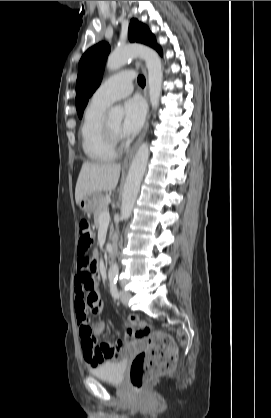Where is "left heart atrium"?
Returning a JSON list of instances; mask_svg holds the SVG:
<instances>
[{"mask_svg": "<svg viewBox=\"0 0 271 418\" xmlns=\"http://www.w3.org/2000/svg\"><path fill=\"white\" fill-rule=\"evenodd\" d=\"M124 113L121 133L130 137L135 135L143 125L146 113L144 102L138 97L127 100L124 105Z\"/></svg>", "mask_w": 271, "mask_h": 418, "instance_id": "39dd6f15", "label": "left heart atrium"}]
</instances>
